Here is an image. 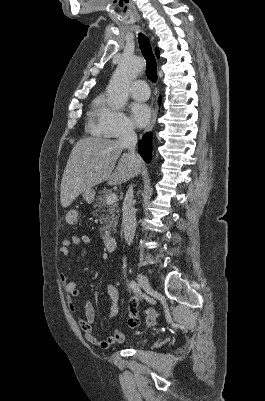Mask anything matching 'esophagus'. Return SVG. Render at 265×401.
Here are the masks:
<instances>
[{
  "label": "esophagus",
  "instance_id": "1",
  "mask_svg": "<svg viewBox=\"0 0 265 401\" xmlns=\"http://www.w3.org/2000/svg\"><path fill=\"white\" fill-rule=\"evenodd\" d=\"M156 116H157V109H155V111L152 113V117H151L148 125L145 127L144 132H148V131L152 130V128L155 124V121H156Z\"/></svg>",
  "mask_w": 265,
  "mask_h": 401
}]
</instances>
